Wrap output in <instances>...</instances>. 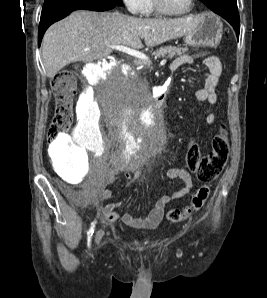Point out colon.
Listing matches in <instances>:
<instances>
[{"label": "colon", "mask_w": 267, "mask_h": 298, "mask_svg": "<svg viewBox=\"0 0 267 298\" xmlns=\"http://www.w3.org/2000/svg\"><path fill=\"white\" fill-rule=\"evenodd\" d=\"M52 88L56 101V108L49 128V142L58 146L62 136L71 128L73 123V96L76 91L75 75L68 70L57 73L52 81ZM229 140L222 130L212 140L211 150L202 153L198 145L190 142L187 146L185 161L187 169L201 182V186L193 195L190 204L183 209H172L167 213L171 222H181L191 217L205 205L212 182L223 171L228 155Z\"/></svg>", "instance_id": "colon-1"}]
</instances>
